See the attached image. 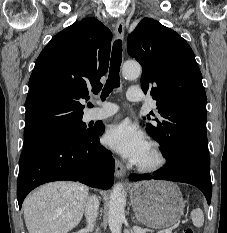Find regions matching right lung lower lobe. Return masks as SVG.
I'll list each match as a JSON object with an SVG mask.
<instances>
[{
  "label": "right lung lower lobe",
  "instance_id": "1",
  "mask_svg": "<svg viewBox=\"0 0 227 233\" xmlns=\"http://www.w3.org/2000/svg\"><path fill=\"white\" fill-rule=\"evenodd\" d=\"M77 138H52L24 147L20 156L17 198H24L37 186L59 180L79 181L88 186L110 189L115 161L99 143L104 127Z\"/></svg>",
  "mask_w": 227,
  "mask_h": 233
}]
</instances>
